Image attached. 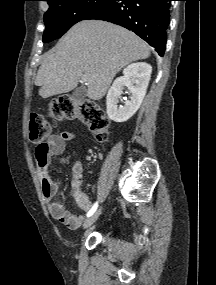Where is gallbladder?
Instances as JSON below:
<instances>
[{"label": "gallbladder", "mask_w": 216, "mask_h": 285, "mask_svg": "<svg viewBox=\"0 0 216 285\" xmlns=\"http://www.w3.org/2000/svg\"><path fill=\"white\" fill-rule=\"evenodd\" d=\"M74 102H82L86 97V88L79 87L72 94Z\"/></svg>", "instance_id": "1"}]
</instances>
